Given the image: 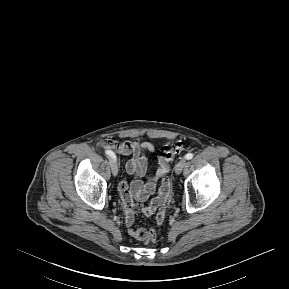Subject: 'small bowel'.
I'll list each match as a JSON object with an SVG mask.
<instances>
[{
    "instance_id": "small-bowel-1",
    "label": "small bowel",
    "mask_w": 289,
    "mask_h": 289,
    "mask_svg": "<svg viewBox=\"0 0 289 289\" xmlns=\"http://www.w3.org/2000/svg\"><path fill=\"white\" fill-rule=\"evenodd\" d=\"M104 148L113 150L121 155L131 156L126 162V172L134 176L132 182L121 180L118 184L121 201L125 210V222L128 228V233L133 238L145 241L148 237L149 230L145 228H135V214L142 212L147 216L153 215L157 211L156 221L161 225L164 221L167 212V197L171 195L172 188L169 180V165L168 159L163 155L157 157L158 167L154 174L146 177L148 170V159L145 153L156 152L155 146L150 142H115L104 140L102 142ZM161 179V187L158 195L150 202L149 205L143 206L145 202L155 190L158 181Z\"/></svg>"
}]
</instances>
